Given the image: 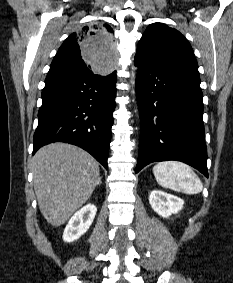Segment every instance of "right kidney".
Wrapping results in <instances>:
<instances>
[{
  "label": "right kidney",
  "mask_w": 233,
  "mask_h": 283,
  "mask_svg": "<svg viewBox=\"0 0 233 283\" xmlns=\"http://www.w3.org/2000/svg\"><path fill=\"white\" fill-rule=\"evenodd\" d=\"M97 208L92 204H87L79 211H77L69 220L64 233L63 240L65 242H72L82 236L91 226Z\"/></svg>",
  "instance_id": "obj_1"
}]
</instances>
